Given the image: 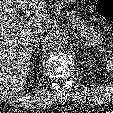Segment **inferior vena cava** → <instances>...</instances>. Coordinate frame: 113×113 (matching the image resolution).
<instances>
[{
  "label": "inferior vena cava",
  "mask_w": 113,
  "mask_h": 113,
  "mask_svg": "<svg viewBox=\"0 0 113 113\" xmlns=\"http://www.w3.org/2000/svg\"><path fill=\"white\" fill-rule=\"evenodd\" d=\"M48 29L47 26H40L38 27L37 29L34 30L33 34H34V37L37 38L39 36H41L44 32H46Z\"/></svg>",
  "instance_id": "1"
}]
</instances>
